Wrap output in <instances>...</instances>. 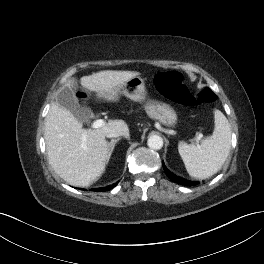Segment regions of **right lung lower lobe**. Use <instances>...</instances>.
<instances>
[{"label":"right lung lower lobe","instance_id":"1","mask_svg":"<svg viewBox=\"0 0 264 264\" xmlns=\"http://www.w3.org/2000/svg\"><path fill=\"white\" fill-rule=\"evenodd\" d=\"M117 184H118V182L115 183V184H113V185H109V186H107V187H104V188H97V189H94V191H98V192L108 191V190L114 188Z\"/></svg>","mask_w":264,"mask_h":264}]
</instances>
